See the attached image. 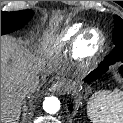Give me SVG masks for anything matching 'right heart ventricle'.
I'll list each match as a JSON object with an SVG mask.
<instances>
[{"instance_id":"obj_1","label":"right heart ventricle","mask_w":123,"mask_h":123,"mask_svg":"<svg viewBox=\"0 0 123 123\" xmlns=\"http://www.w3.org/2000/svg\"><path fill=\"white\" fill-rule=\"evenodd\" d=\"M79 37L80 36H74V32L72 30H68L60 37V39L58 40V43L62 44L64 42L70 41L71 52L73 56L79 57V54H80ZM54 48L55 46H51L48 51L52 52Z\"/></svg>"}]
</instances>
